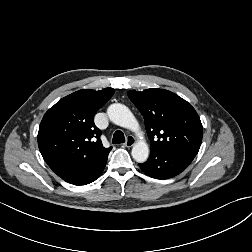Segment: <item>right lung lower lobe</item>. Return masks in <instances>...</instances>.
Returning a JSON list of instances; mask_svg holds the SVG:
<instances>
[{
    "label": "right lung lower lobe",
    "mask_w": 252,
    "mask_h": 252,
    "mask_svg": "<svg viewBox=\"0 0 252 252\" xmlns=\"http://www.w3.org/2000/svg\"><path fill=\"white\" fill-rule=\"evenodd\" d=\"M106 161L82 165L58 176L74 185H86L95 181L101 175Z\"/></svg>",
    "instance_id": "98d812e1"
}]
</instances>
